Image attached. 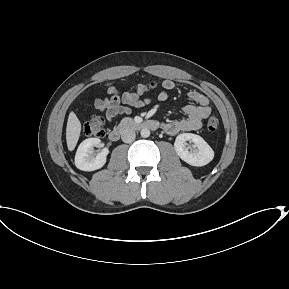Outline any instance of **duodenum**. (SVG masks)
I'll use <instances>...</instances> for the list:
<instances>
[{"label":"duodenum","instance_id":"410a0bca","mask_svg":"<svg viewBox=\"0 0 289 289\" xmlns=\"http://www.w3.org/2000/svg\"><path fill=\"white\" fill-rule=\"evenodd\" d=\"M159 127L160 123L156 120H147V121L125 120L110 131L109 138L112 141H117L123 134H125L128 131L142 130V129L156 130Z\"/></svg>","mask_w":289,"mask_h":289}]
</instances>
